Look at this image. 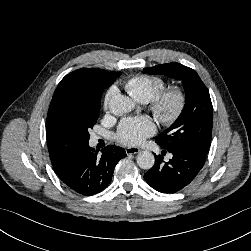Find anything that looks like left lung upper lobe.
Masks as SVG:
<instances>
[{"label":"left lung upper lobe","mask_w":251,"mask_h":251,"mask_svg":"<svg viewBox=\"0 0 251 251\" xmlns=\"http://www.w3.org/2000/svg\"><path fill=\"white\" fill-rule=\"evenodd\" d=\"M151 74H168L182 80L186 91L185 105L177 120L156 138L165 149L192 147L207 155L212 136L213 107L209 91L191 68L172 62L145 68Z\"/></svg>","instance_id":"1"}]
</instances>
